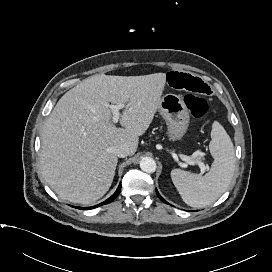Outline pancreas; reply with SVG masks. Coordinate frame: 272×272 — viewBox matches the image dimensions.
I'll list each match as a JSON object with an SVG mask.
<instances>
[{
  "instance_id": "1",
  "label": "pancreas",
  "mask_w": 272,
  "mask_h": 272,
  "mask_svg": "<svg viewBox=\"0 0 272 272\" xmlns=\"http://www.w3.org/2000/svg\"><path fill=\"white\" fill-rule=\"evenodd\" d=\"M193 160H195V161H201V157H195Z\"/></svg>"
}]
</instances>
